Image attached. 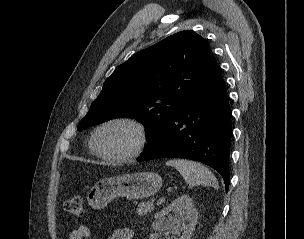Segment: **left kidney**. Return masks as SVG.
<instances>
[{
	"label": "left kidney",
	"mask_w": 304,
	"mask_h": 239,
	"mask_svg": "<svg viewBox=\"0 0 304 239\" xmlns=\"http://www.w3.org/2000/svg\"><path fill=\"white\" fill-rule=\"evenodd\" d=\"M197 221L198 212L192 199L188 195H182L155 215L152 228L174 236L182 231L180 239H190Z\"/></svg>",
	"instance_id": "5707ae66"
}]
</instances>
